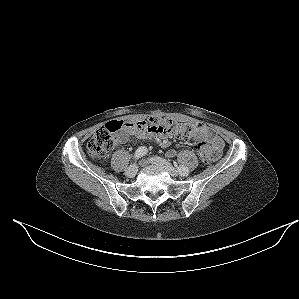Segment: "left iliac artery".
<instances>
[{
    "label": "left iliac artery",
    "instance_id": "left-iliac-artery-1",
    "mask_svg": "<svg viewBox=\"0 0 299 299\" xmlns=\"http://www.w3.org/2000/svg\"><path fill=\"white\" fill-rule=\"evenodd\" d=\"M178 172L180 173V175L186 176L189 174V169L187 167L184 166H179L178 167Z\"/></svg>",
    "mask_w": 299,
    "mask_h": 299
}]
</instances>
